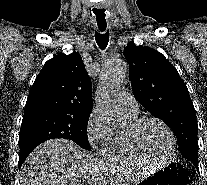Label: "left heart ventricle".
<instances>
[{
  "instance_id": "left-heart-ventricle-1",
  "label": "left heart ventricle",
  "mask_w": 207,
  "mask_h": 185,
  "mask_svg": "<svg viewBox=\"0 0 207 185\" xmlns=\"http://www.w3.org/2000/svg\"><path fill=\"white\" fill-rule=\"evenodd\" d=\"M139 136L143 146L153 157L164 158L170 153L172 140L161 124L152 121L146 123Z\"/></svg>"
}]
</instances>
